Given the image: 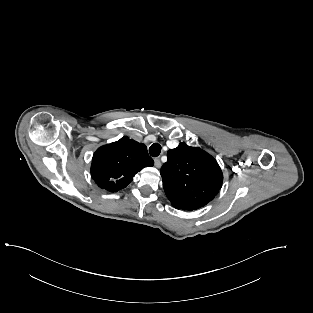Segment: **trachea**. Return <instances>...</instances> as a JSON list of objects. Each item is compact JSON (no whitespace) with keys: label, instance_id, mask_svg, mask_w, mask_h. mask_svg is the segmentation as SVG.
I'll return each instance as SVG.
<instances>
[{"label":"trachea","instance_id":"obj_1","mask_svg":"<svg viewBox=\"0 0 313 313\" xmlns=\"http://www.w3.org/2000/svg\"><path fill=\"white\" fill-rule=\"evenodd\" d=\"M160 152H161V145L158 143L152 144L149 148V153L153 157L159 156Z\"/></svg>","mask_w":313,"mask_h":313}]
</instances>
